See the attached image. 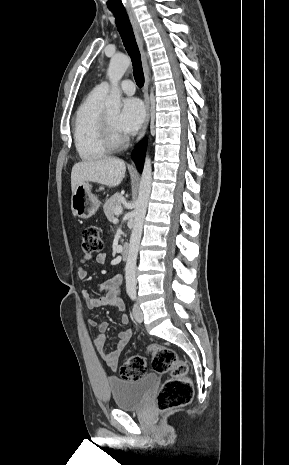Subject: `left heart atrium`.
Masks as SVG:
<instances>
[{"label":"left heart atrium","instance_id":"39dd6f15","mask_svg":"<svg viewBox=\"0 0 289 465\" xmlns=\"http://www.w3.org/2000/svg\"><path fill=\"white\" fill-rule=\"evenodd\" d=\"M145 118L144 106L138 98H128L123 102L122 111L118 117V129L125 134L135 133Z\"/></svg>","mask_w":289,"mask_h":465}]
</instances>
